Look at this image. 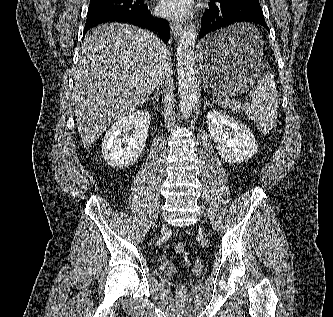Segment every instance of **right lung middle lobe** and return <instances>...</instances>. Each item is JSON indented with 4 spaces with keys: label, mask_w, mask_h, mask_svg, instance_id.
<instances>
[{
    "label": "right lung middle lobe",
    "mask_w": 333,
    "mask_h": 317,
    "mask_svg": "<svg viewBox=\"0 0 333 317\" xmlns=\"http://www.w3.org/2000/svg\"><path fill=\"white\" fill-rule=\"evenodd\" d=\"M139 5L138 1L134 2L133 0H91L88 12L114 9L127 10L137 8Z\"/></svg>",
    "instance_id": "right-lung-middle-lobe-1"
}]
</instances>
